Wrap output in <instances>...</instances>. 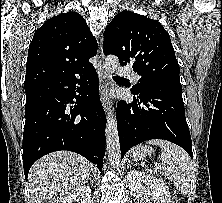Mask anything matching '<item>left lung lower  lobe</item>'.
<instances>
[{"mask_svg":"<svg viewBox=\"0 0 222 203\" xmlns=\"http://www.w3.org/2000/svg\"><path fill=\"white\" fill-rule=\"evenodd\" d=\"M131 91L134 101H119L116 110L121 158L131 147L150 139L173 142L193 158L182 87L157 83L138 93Z\"/></svg>","mask_w":222,"mask_h":203,"instance_id":"1","label":"left lung lower lobe"}]
</instances>
